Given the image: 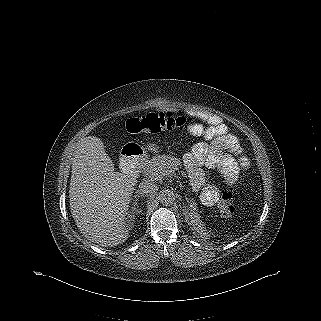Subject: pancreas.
Here are the masks:
<instances>
[{"label":"pancreas","mask_w":321,"mask_h":321,"mask_svg":"<svg viewBox=\"0 0 321 321\" xmlns=\"http://www.w3.org/2000/svg\"><path fill=\"white\" fill-rule=\"evenodd\" d=\"M178 163L179 162L176 159L167 156H157L146 164L144 172L154 179H161L163 176L169 174L168 171L172 166H175ZM188 203L191 208V214L196 216V203L190 199L188 200Z\"/></svg>","instance_id":"cf45deb5"}]
</instances>
